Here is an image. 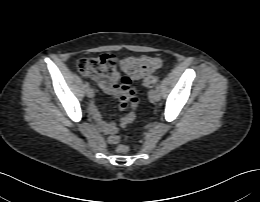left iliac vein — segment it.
I'll list each match as a JSON object with an SVG mask.
<instances>
[{
    "label": "left iliac vein",
    "mask_w": 260,
    "mask_h": 202,
    "mask_svg": "<svg viewBox=\"0 0 260 202\" xmlns=\"http://www.w3.org/2000/svg\"><path fill=\"white\" fill-rule=\"evenodd\" d=\"M160 98H161V95H160L159 90H156V89H155V90H151V91H150V99H151V100L157 102V101L160 100Z\"/></svg>",
    "instance_id": "4c4485c4"
}]
</instances>
